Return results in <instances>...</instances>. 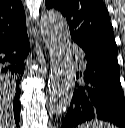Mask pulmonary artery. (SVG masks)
Wrapping results in <instances>:
<instances>
[{"mask_svg":"<svg viewBox=\"0 0 125 128\" xmlns=\"http://www.w3.org/2000/svg\"><path fill=\"white\" fill-rule=\"evenodd\" d=\"M76 54H77V56H78V58H79L80 63H81L82 65H84V59H83L82 53H81L80 51H77Z\"/></svg>","mask_w":125,"mask_h":128,"instance_id":"pulmonary-artery-1","label":"pulmonary artery"}]
</instances>
